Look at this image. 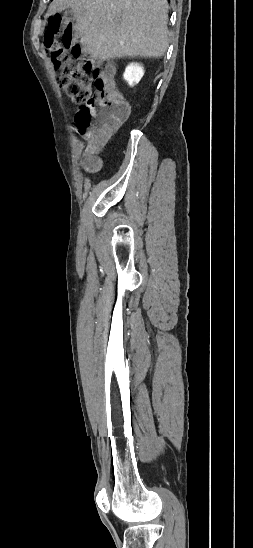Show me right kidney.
<instances>
[{"label": "right kidney", "instance_id": "ca27d5eb", "mask_svg": "<svg viewBox=\"0 0 253 548\" xmlns=\"http://www.w3.org/2000/svg\"><path fill=\"white\" fill-rule=\"evenodd\" d=\"M144 75V69L139 63H130L123 74L124 79L130 86L137 84Z\"/></svg>", "mask_w": 253, "mask_h": 548}]
</instances>
